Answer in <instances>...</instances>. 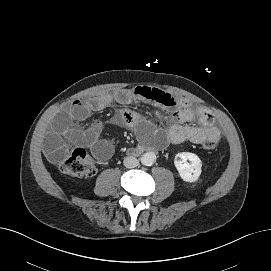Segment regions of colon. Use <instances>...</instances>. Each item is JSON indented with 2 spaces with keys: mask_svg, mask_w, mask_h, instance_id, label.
<instances>
[{
  "mask_svg": "<svg viewBox=\"0 0 271 271\" xmlns=\"http://www.w3.org/2000/svg\"><path fill=\"white\" fill-rule=\"evenodd\" d=\"M221 142L219 135H213L204 140L202 146L207 150L216 149ZM63 173L72 177H89L95 174L93 160L84 149H75L60 163Z\"/></svg>",
  "mask_w": 271,
  "mask_h": 271,
  "instance_id": "obj_1",
  "label": "colon"
}]
</instances>
